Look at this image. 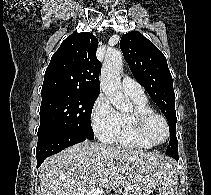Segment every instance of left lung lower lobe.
I'll return each instance as SVG.
<instances>
[{
    "label": "left lung lower lobe",
    "mask_w": 211,
    "mask_h": 195,
    "mask_svg": "<svg viewBox=\"0 0 211 195\" xmlns=\"http://www.w3.org/2000/svg\"><path fill=\"white\" fill-rule=\"evenodd\" d=\"M173 158H175L176 160H178V154L173 156Z\"/></svg>",
    "instance_id": "obj_1"
}]
</instances>
